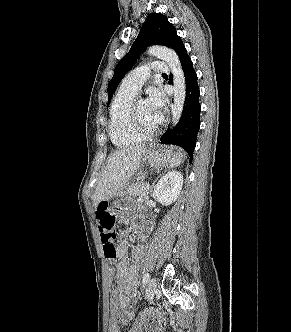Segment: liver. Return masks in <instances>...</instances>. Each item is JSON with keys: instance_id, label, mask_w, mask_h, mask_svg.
<instances>
[{"instance_id": "obj_1", "label": "liver", "mask_w": 291, "mask_h": 332, "mask_svg": "<svg viewBox=\"0 0 291 332\" xmlns=\"http://www.w3.org/2000/svg\"><path fill=\"white\" fill-rule=\"evenodd\" d=\"M144 145L122 148L108 159L93 195L94 206L101 201H109L124 188L140 167Z\"/></svg>"}]
</instances>
